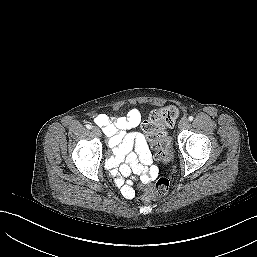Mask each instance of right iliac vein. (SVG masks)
<instances>
[{"label":"right iliac vein","instance_id":"1","mask_svg":"<svg viewBox=\"0 0 257 257\" xmlns=\"http://www.w3.org/2000/svg\"><path fill=\"white\" fill-rule=\"evenodd\" d=\"M92 133L95 134L96 136H101V131L98 127H93Z\"/></svg>","mask_w":257,"mask_h":257}]
</instances>
